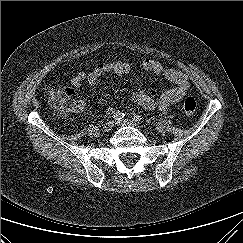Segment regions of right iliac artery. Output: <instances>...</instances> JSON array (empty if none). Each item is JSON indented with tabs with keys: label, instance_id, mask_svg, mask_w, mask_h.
Here are the masks:
<instances>
[{
	"label": "right iliac artery",
	"instance_id": "right-iliac-artery-1",
	"mask_svg": "<svg viewBox=\"0 0 243 243\" xmlns=\"http://www.w3.org/2000/svg\"><path fill=\"white\" fill-rule=\"evenodd\" d=\"M124 116H125V114H124L123 112L118 111L117 113H115L113 119H114L115 121H119V120H121L122 118H124Z\"/></svg>",
	"mask_w": 243,
	"mask_h": 243
}]
</instances>
